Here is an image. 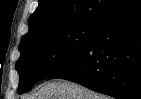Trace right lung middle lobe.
I'll return each instance as SVG.
<instances>
[{"instance_id": "right-lung-middle-lobe-1", "label": "right lung middle lobe", "mask_w": 141, "mask_h": 99, "mask_svg": "<svg viewBox=\"0 0 141 99\" xmlns=\"http://www.w3.org/2000/svg\"><path fill=\"white\" fill-rule=\"evenodd\" d=\"M99 21H80L20 43L16 63L22 94L69 63L92 39Z\"/></svg>"}]
</instances>
